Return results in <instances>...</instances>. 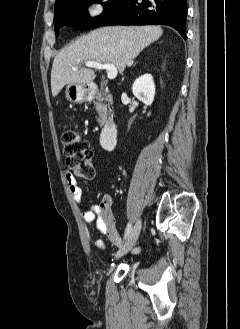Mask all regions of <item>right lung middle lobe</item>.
I'll return each instance as SVG.
<instances>
[{"label":"right lung middle lobe","instance_id":"obj_1","mask_svg":"<svg viewBox=\"0 0 240 329\" xmlns=\"http://www.w3.org/2000/svg\"><path fill=\"white\" fill-rule=\"evenodd\" d=\"M125 0H69L54 9V27L56 36L58 28L64 25L77 29H90L101 26ZM101 3L104 11L100 16L91 18L87 7L93 3Z\"/></svg>","mask_w":240,"mask_h":329}]
</instances>
